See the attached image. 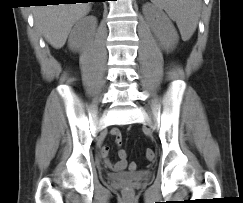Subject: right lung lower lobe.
I'll list each match as a JSON object with an SVG mask.
<instances>
[{"label":"right lung lower lobe","mask_w":243,"mask_h":203,"mask_svg":"<svg viewBox=\"0 0 243 203\" xmlns=\"http://www.w3.org/2000/svg\"><path fill=\"white\" fill-rule=\"evenodd\" d=\"M45 1H48V0H40L39 2H38V4H35V5H44L45 4ZM61 2H58V3H68V4H70V3H77V1H94V2H102V1H106V0H60ZM50 3H55V4H57V2H50ZM86 3H88V2H86Z\"/></svg>","instance_id":"1"}]
</instances>
